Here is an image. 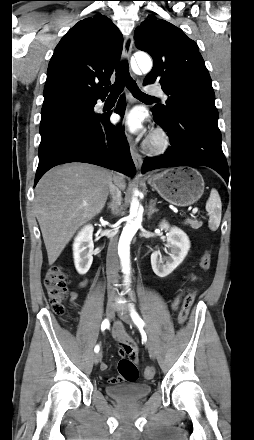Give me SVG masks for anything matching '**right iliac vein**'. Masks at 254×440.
<instances>
[{
	"mask_svg": "<svg viewBox=\"0 0 254 440\" xmlns=\"http://www.w3.org/2000/svg\"><path fill=\"white\" fill-rule=\"evenodd\" d=\"M114 312H115L114 305L109 304L107 306V309H106V316L111 319L113 317V315H114ZM101 359H102V353L101 352H98V353H96L94 355V363L95 364H98L101 361Z\"/></svg>",
	"mask_w": 254,
	"mask_h": 440,
	"instance_id": "1",
	"label": "right iliac vein"
}]
</instances>
